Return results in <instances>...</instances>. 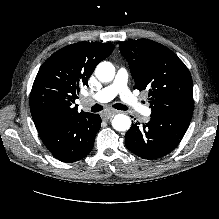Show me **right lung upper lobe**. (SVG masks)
<instances>
[{"instance_id":"right-lung-upper-lobe-1","label":"right lung upper lobe","mask_w":219,"mask_h":219,"mask_svg":"<svg viewBox=\"0 0 219 219\" xmlns=\"http://www.w3.org/2000/svg\"><path fill=\"white\" fill-rule=\"evenodd\" d=\"M113 49L111 43L79 42L58 50L44 62L30 95V110L37 128L79 114L78 106H72V99L75 101L79 93V83L88 86L87 79L96 65Z\"/></svg>"}]
</instances>
